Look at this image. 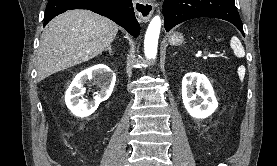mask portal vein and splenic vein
Returning <instances> with one entry per match:
<instances>
[{"instance_id":"18ae733b","label":"portal vein and splenic vein","mask_w":277,"mask_h":166,"mask_svg":"<svg viewBox=\"0 0 277 166\" xmlns=\"http://www.w3.org/2000/svg\"><path fill=\"white\" fill-rule=\"evenodd\" d=\"M214 57H219V55L207 54V55L203 56L204 59L214 58Z\"/></svg>"}]
</instances>
